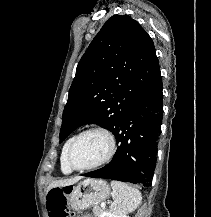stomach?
<instances>
[{
	"label": "stomach",
	"mask_w": 211,
	"mask_h": 217,
	"mask_svg": "<svg viewBox=\"0 0 211 217\" xmlns=\"http://www.w3.org/2000/svg\"><path fill=\"white\" fill-rule=\"evenodd\" d=\"M66 187L68 204L76 211L97 205L110 195V187L103 179H86L77 186Z\"/></svg>",
	"instance_id": "0dacf381"
}]
</instances>
